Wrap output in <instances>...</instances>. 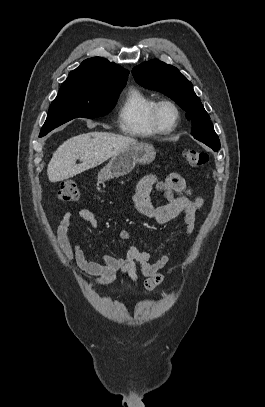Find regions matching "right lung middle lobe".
Segmentation results:
<instances>
[{"mask_svg": "<svg viewBox=\"0 0 265 407\" xmlns=\"http://www.w3.org/2000/svg\"><path fill=\"white\" fill-rule=\"evenodd\" d=\"M125 85L99 81L63 82L50 106L40 136L77 117L97 118L108 114L115 107Z\"/></svg>", "mask_w": 265, "mask_h": 407, "instance_id": "obj_1", "label": "right lung middle lobe"}]
</instances>
